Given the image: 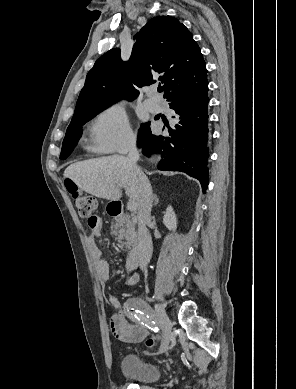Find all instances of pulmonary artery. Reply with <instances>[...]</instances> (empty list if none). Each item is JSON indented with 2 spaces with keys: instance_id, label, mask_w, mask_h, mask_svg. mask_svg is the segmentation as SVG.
<instances>
[{
  "instance_id": "obj_1",
  "label": "pulmonary artery",
  "mask_w": 296,
  "mask_h": 389,
  "mask_svg": "<svg viewBox=\"0 0 296 389\" xmlns=\"http://www.w3.org/2000/svg\"><path fill=\"white\" fill-rule=\"evenodd\" d=\"M144 106L152 113H158L161 110V105L156 97L147 98L144 101Z\"/></svg>"
}]
</instances>
